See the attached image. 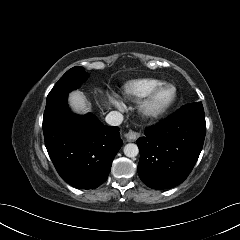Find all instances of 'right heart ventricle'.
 Masks as SVG:
<instances>
[{
  "instance_id": "1",
  "label": "right heart ventricle",
  "mask_w": 240,
  "mask_h": 240,
  "mask_svg": "<svg viewBox=\"0 0 240 240\" xmlns=\"http://www.w3.org/2000/svg\"><path fill=\"white\" fill-rule=\"evenodd\" d=\"M162 84V80L155 78L135 79L122 86L121 94L124 98L129 100L141 99L147 96L154 88Z\"/></svg>"
}]
</instances>
